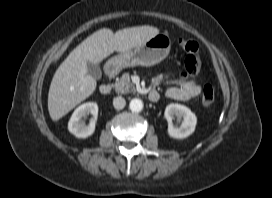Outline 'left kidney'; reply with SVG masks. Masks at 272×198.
<instances>
[{
    "label": "left kidney",
    "instance_id": "1",
    "mask_svg": "<svg viewBox=\"0 0 272 198\" xmlns=\"http://www.w3.org/2000/svg\"><path fill=\"white\" fill-rule=\"evenodd\" d=\"M164 116L168 121V134L175 139H184L190 136L194 131L197 123L196 115L186 106L171 103L167 105ZM177 117L183 118L181 126L175 127L172 119Z\"/></svg>",
    "mask_w": 272,
    "mask_h": 198
}]
</instances>
